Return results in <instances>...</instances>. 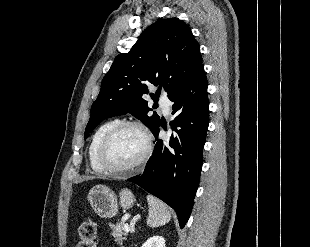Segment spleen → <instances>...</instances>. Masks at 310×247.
I'll return each mask as SVG.
<instances>
[{"instance_id": "3e777b00", "label": "spleen", "mask_w": 310, "mask_h": 247, "mask_svg": "<svg viewBox=\"0 0 310 247\" xmlns=\"http://www.w3.org/2000/svg\"><path fill=\"white\" fill-rule=\"evenodd\" d=\"M147 201L149 205L148 226L152 228L163 226L171 220V214L162 201L151 195L147 196Z\"/></svg>"}]
</instances>
